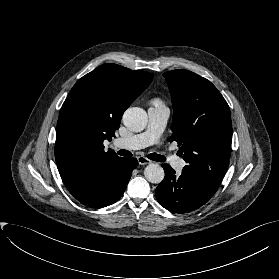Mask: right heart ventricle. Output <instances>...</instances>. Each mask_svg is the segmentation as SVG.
<instances>
[{
  "instance_id": "right-heart-ventricle-1",
  "label": "right heart ventricle",
  "mask_w": 279,
  "mask_h": 279,
  "mask_svg": "<svg viewBox=\"0 0 279 279\" xmlns=\"http://www.w3.org/2000/svg\"><path fill=\"white\" fill-rule=\"evenodd\" d=\"M154 104H159V102L158 101H154Z\"/></svg>"
}]
</instances>
